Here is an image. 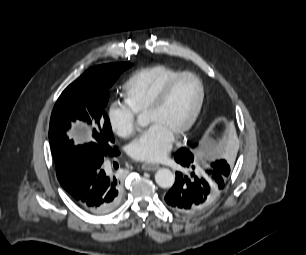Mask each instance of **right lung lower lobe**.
<instances>
[{
  "mask_svg": "<svg viewBox=\"0 0 306 255\" xmlns=\"http://www.w3.org/2000/svg\"><path fill=\"white\" fill-rule=\"evenodd\" d=\"M103 162L81 166L76 183L69 194L84 210L93 214L111 212L120 202L122 180L103 169Z\"/></svg>",
  "mask_w": 306,
  "mask_h": 255,
  "instance_id": "1",
  "label": "right lung lower lobe"
}]
</instances>
